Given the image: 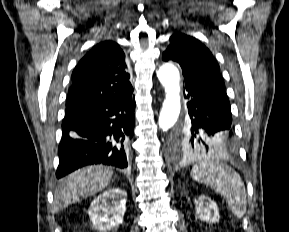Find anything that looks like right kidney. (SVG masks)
Wrapping results in <instances>:
<instances>
[{
    "mask_svg": "<svg viewBox=\"0 0 289 232\" xmlns=\"http://www.w3.org/2000/svg\"><path fill=\"white\" fill-rule=\"evenodd\" d=\"M126 191L109 188L95 198L88 210L93 228L100 232L117 229L123 222L126 211Z\"/></svg>",
    "mask_w": 289,
    "mask_h": 232,
    "instance_id": "ca27d5eb",
    "label": "right kidney"
}]
</instances>
